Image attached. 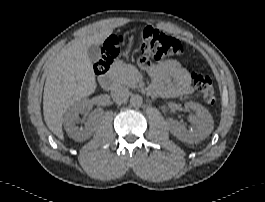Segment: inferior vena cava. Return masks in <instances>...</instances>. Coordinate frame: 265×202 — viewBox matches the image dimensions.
Returning a JSON list of instances; mask_svg holds the SVG:
<instances>
[{
  "instance_id": "602c4592",
  "label": "inferior vena cava",
  "mask_w": 265,
  "mask_h": 202,
  "mask_svg": "<svg viewBox=\"0 0 265 202\" xmlns=\"http://www.w3.org/2000/svg\"><path fill=\"white\" fill-rule=\"evenodd\" d=\"M130 96V91L127 87L122 85H115L111 90V97L117 104H123L127 102Z\"/></svg>"
}]
</instances>
